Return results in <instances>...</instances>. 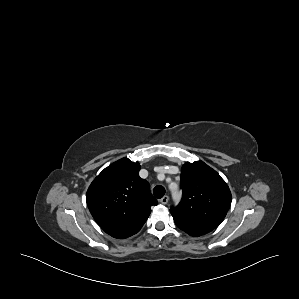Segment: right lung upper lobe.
Instances as JSON below:
<instances>
[{"instance_id": "cb5924a9", "label": "right lung upper lobe", "mask_w": 299, "mask_h": 299, "mask_svg": "<svg viewBox=\"0 0 299 299\" xmlns=\"http://www.w3.org/2000/svg\"><path fill=\"white\" fill-rule=\"evenodd\" d=\"M139 170L138 162L122 158L105 168L88 188L86 201L93 218L114 238L139 232L150 215V207L157 205Z\"/></svg>"}]
</instances>
